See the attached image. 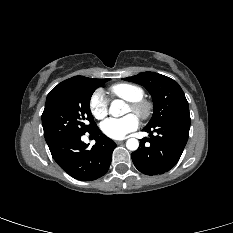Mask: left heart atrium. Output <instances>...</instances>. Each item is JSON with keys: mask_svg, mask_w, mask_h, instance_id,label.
<instances>
[{"mask_svg": "<svg viewBox=\"0 0 233 233\" xmlns=\"http://www.w3.org/2000/svg\"><path fill=\"white\" fill-rule=\"evenodd\" d=\"M136 116L128 114L122 118H109L101 124L102 132L109 138L122 139L138 128Z\"/></svg>", "mask_w": 233, "mask_h": 233, "instance_id": "obj_1", "label": "left heart atrium"}]
</instances>
